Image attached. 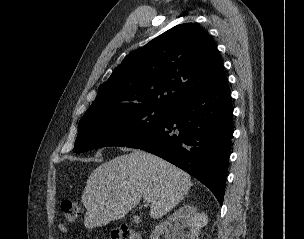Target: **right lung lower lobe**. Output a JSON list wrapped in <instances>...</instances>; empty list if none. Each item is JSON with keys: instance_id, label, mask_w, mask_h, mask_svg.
<instances>
[{"instance_id": "1", "label": "right lung lower lobe", "mask_w": 304, "mask_h": 239, "mask_svg": "<svg viewBox=\"0 0 304 239\" xmlns=\"http://www.w3.org/2000/svg\"><path fill=\"white\" fill-rule=\"evenodd\" d=\"M233 132V107L223 75L203 91L169 106L159 127L126 146L188 172L222 205Z\"/></svg>"}]
</instances>
